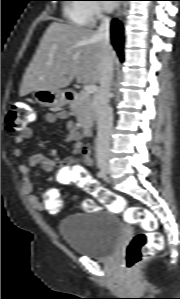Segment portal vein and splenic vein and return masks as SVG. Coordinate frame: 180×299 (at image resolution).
I'll list each match as a JSON object with an SVG mask.
<instances>
[{
    "label": "portal vein and splenic vein",
    "instance_id": "1",
    "mask_svg": "<svg viewBox=\"0 0 180 299\" xmlns=\"http://www.w3.org/2000/svg\"><path fill=\"white\" fill-rule=\"evenodd\" d=\"M97 90V87L95 85H86L84 86V92L86 94H92Z\"/></svg>",
    "mask_w": 180,
    "mask_h": 299
}]
</instances>
